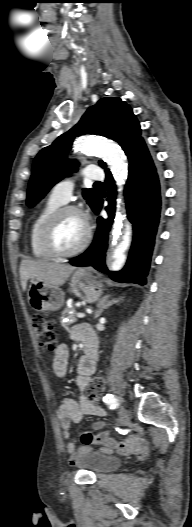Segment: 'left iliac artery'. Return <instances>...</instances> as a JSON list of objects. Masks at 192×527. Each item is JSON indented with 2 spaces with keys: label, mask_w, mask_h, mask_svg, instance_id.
Here are the masks:
<instances>
[{
  "label": "left iliac artery",
  "mask_w": 192,
  "mask_h": 527,
  "mask_svg": "<svg viewBox=\"0 0 192 527\" xmlns=\"http://www.w3.org/2000/svg\"><path fill=\"white\" fill-rule=\"evenodd\" d=\"M104 401L108 404L110 409H116L119 406V401L113 394H106L104 396Z\"/></svg>",
  "instance_id": "44dca946"
}]
</instances>
